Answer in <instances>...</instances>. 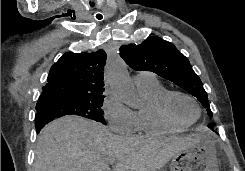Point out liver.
Listing matches in <instances>:
<instances>
[{
  "mask_svg": "<svg viewBox=\"0 0 245 171\" xmlns=\"http://www.w3.org/2000/svg\"><path fill=\"white\" fill-rule=\"evenodd\" d=\"M200 137H122L101 124L65 116L41 131L34 171H111L109 160L117 162L112 171H158Z\"/></svg>",
  "mask_w": 245,
  "mask_h": 171,
  "instance_id": "liver-1",
  "label": "liver"
}]
</instances>
